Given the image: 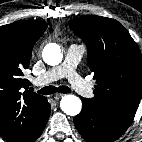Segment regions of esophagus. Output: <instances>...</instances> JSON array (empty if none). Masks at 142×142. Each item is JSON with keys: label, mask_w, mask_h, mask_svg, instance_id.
Listing matches in <instances>:
<instances>
[{"label": "esophagus", "mask_w": 142, "mask_h": 142, "mask_svg": "<svg viewBox=\"0 0 142 142\" xmlns=\"http://www.w3.org/2000/svg\"><path fill=\"white\" fill-rule=\"evenodd\" d=\"M64 95H65V94L56 93V94L54 95V98H55V100H59V99H61Z\"/></svg>", "instance_id": "34e87169"}]
</instances>
